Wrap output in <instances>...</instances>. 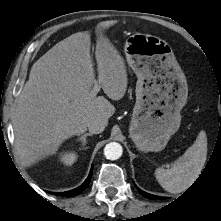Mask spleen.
<instances>
[{"instance_id":"spleen-1","label":"spleen","mask_w":221,"mask_h":221,"mask_svg":"<svg viewBox=\"0 0 221 221\" xmlns=\"http://www.w3.org/2000/svg\"><path fill=\"white\" fill-rule=\"evenodd\" d=\"M207 159L206 132L201 130L194 142L170 168H157L155 177L163 189L181 193L188 189L201 173Z\"/></svg>"}]
</instances>
